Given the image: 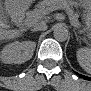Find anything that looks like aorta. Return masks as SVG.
<instances>
[{
  "label": "aorta",
  "instance_id": "1",
  "mask_svg": "<svg viewBox=\"0 0 91 91\" xmlns=\"http://www.w3.org/2000/svg\"><path fill=\"white\" fill-rule=\"evenodd\" d=\"M53 35L56 40L63 42L67 40L69 34L64 25L56 24L53 28Z\"/></svg>",
  "mask_w": 91,
  "mask_h": 91
}]
</instances>
